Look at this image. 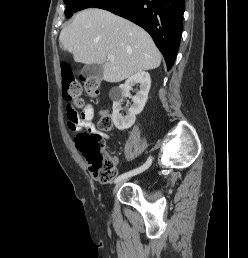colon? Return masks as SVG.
Returning a JSON list of instances; mask_svg holds the SVG:
<instances>
[{
  "mask_svg": "<svg viewBox=\"0 0 248 258\" xmlns=\"http://www.w3.org/2000/svg\"><path fill=\"white\" fill-rule=\"evenodd\" d=\"M64 98L70 102L73 108L83 105L81 98L82 85L80 81L71 76L68 66L63 67ZM86 92L93 98L99 96L101 85L98 79L88 77L83 79ZM101 131L110 132L114 128L112 115L108 111H102L99 117ZM75 147L86 160L93 176L102 183H110L117 176V168L114 158L107 153L101 135L98 132L81 131L74 138Z\"/></svg>",
  "mask_w": 248,
  "mask_h": 258,
  "instance_id": "5ec220e1",
  "label": "colon"
}]
</instances>
